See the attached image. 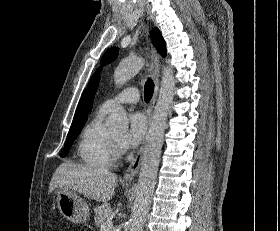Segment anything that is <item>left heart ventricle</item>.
I'll return each instance as SVG.
<instances>
[{"label":"left heart ventricle","mask_w":280,"mask_h":231,"mask_svg":"<svg viewBox=\"0 0 280 231\" xmlns=\"http://www.w3.org/2000/svg\"><path fill=\"white\" fill-rule=\"evenodd\" d=\"M122 134H119V133H112V137L117 140L121 137Z\"/></svg>","instance_id":"left-heart-ventricle-1"}]
</instances>
